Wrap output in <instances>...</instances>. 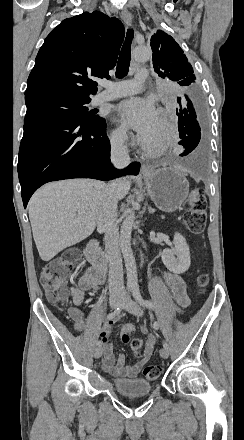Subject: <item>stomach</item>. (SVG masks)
<instances>
[{"label":"stomach","instance_id":"stomach-1","mask_svg":"<svg viewBox=\"0 0 244 440\" xmlns=\"http://www.w3.org/2000/svg\"><path fill=\"white\" fill-rule=\"evenodd\" d=\"M148 196L162 212H175L181 208L189 194V182L183 172L172 166H162L158 170L150 168L143 174Z\"/></svg>","mask_w":244,"mask_h":440}]
</instances>
